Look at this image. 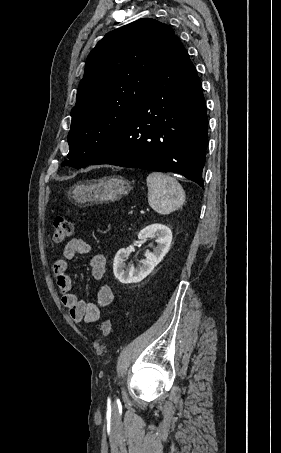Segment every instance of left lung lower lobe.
Segmentation results:
<instances>
[{
  "label": "left lung lower lobe",
  "instance_id": "1",
  "mask_svg": "<svg viewBox=\"0 0 281 453\" xmlns=\"http://www.w3.org/2000/svg\"><path fill=\"white\" fill-rule=\"evenodd\" d=\"M207 126L201 82L175 37L144 98L116 139L91 164L178 173L203 187Z\"/></svg>",
  "mask_w": 281,
  "mask_h": 453
}]
</instances>
